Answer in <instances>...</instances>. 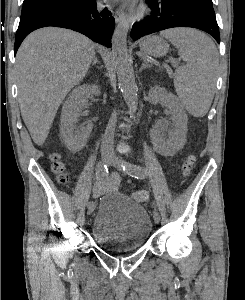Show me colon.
Returning a JSON list of instances; mask_svg holds the SVG:
<instances>
[{"mask_svg":"<svg viewBox=\"0 0 245 300\" xmlns=\"http://www.w3.org/2000/svg\"><path fill=\"white\" fill-rule=\"evenodd\" d=\"M52 169L56 174L57 180L60 184L65 185L68 183V176L65 173L64 164L61 162L60 157L58 155H52ZM194 162V157L189 156L184 163L183 171L184 174H189L191 167ZM133 199L139 203H144L148 200V193L144 190H139L132 195Z\"/></svg>","mask_w":245,"mask_h":300,"instance_id":"1","label":"colon"}]
</instances>
